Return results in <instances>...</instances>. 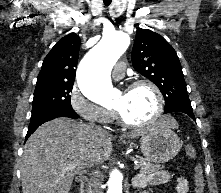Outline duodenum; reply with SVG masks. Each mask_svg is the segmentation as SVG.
Instances as JSON below:
<instances>
[{
    "label": "duodenum",
    "instance_id": "1",
    "mask_svg": "<svg viewBox=\"0 0 221 193\" xmlns=\"http://www.w3.org/2000/svg\"><path fill=\"white\" fill-rule=\"evenodd\" d=\"M80 193H91L90 179L88 176H83L80 179Z\"/></svg>",
    "mask_w": 221,
    "mask_h": 193
}]
</instances>
